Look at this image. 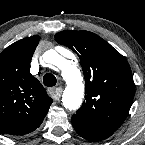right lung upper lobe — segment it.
<instances>
[{
	"instance_id": "1",
	"label": "right lung upper lobe",
	"mask_w": 145,
	"mask_h": 145,
	"mask_svg": "<svg viewBox=\"0 0 145 145\" xmlns=\"http://www.w3.org/2000/svg\"><path fill=\"white\" fill-rule=\"evenodd\" d=\"M40 37L19 40L0 54V133L24 135L37 129L53 100L30 74Z\"/></svg>"
}]
</instances>
